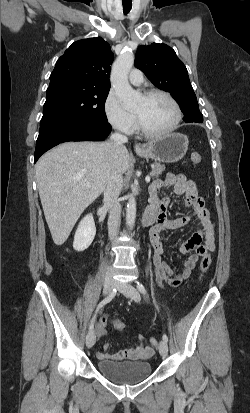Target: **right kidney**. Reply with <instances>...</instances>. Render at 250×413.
<instances>
[{
	"mask_svg": "<svg viewBox=\"0 0 250 413\" xmlns=\"http://www.w3.org/2000/svg\"><path fill=\"white\" fill-rule=\"evenodd\" d=\"M96 227L93 216L86 215L79 223L74 236L73 248L80 252L87 249L94 240Z\"/></svg>",
	"mask_w": 250,
	"mask_h": 413,
	"instance_id": "right-kidney-1",
	"label": "right kidney"
}]
</instances>
